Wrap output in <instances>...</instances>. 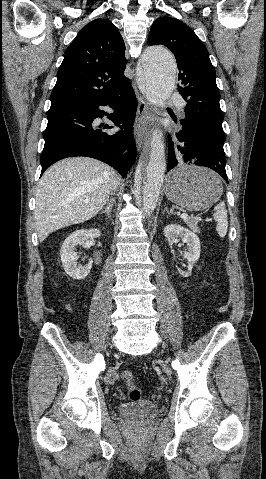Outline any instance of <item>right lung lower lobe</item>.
Masks as SVG:
<instances>
[{"label":"right lung lower lobe","instance_id":"right-lung-lower-lobe-1","mask_svg":"<svg viewBox=\"0 0 266 479\" xmlns=\"http://www.w3.org/2000/svg\"><path fill=\"white\" fill-rule=\"evenodd\" d=\"M101 106L113 108L114 113L107 114ZM136 110L137 100L130 83L108 95L52 104L43 134L41 174L63 158L86 156L109 164L125 177L137 154L133 135ZM104 115L124 131L111 134L99 129L112 128L107 124L99 127L95 124L94 120Z\"/></svg>","mask_w":266,"mask_h":479}]
</instances>
